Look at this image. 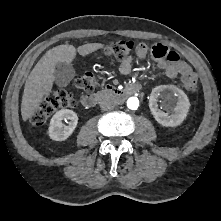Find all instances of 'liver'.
<instances>
[{
    "mask_svg": "<svg viewBox=\"0 0 221 221\" xmlns=\"http://www.w3.org/2000/svg\"><path fill=\"white\" fill-rule=\"evenodd\" d=\"M102 43H88L79 46L64 44L53 47L38 61L28 76L21 103V115L24 121L31 118L43 101L45 95L52 90L54 71L57 62L71 63L78 52L82 56L103 48Z\"/></svg>",
    "mask_w": 221,
    "mask_h": 221,
    "instance_id": "6515ba94",
    "label": "liver"
}]
</instances>
